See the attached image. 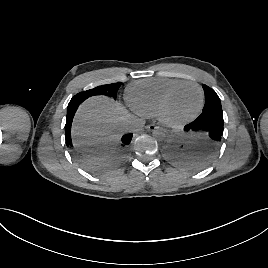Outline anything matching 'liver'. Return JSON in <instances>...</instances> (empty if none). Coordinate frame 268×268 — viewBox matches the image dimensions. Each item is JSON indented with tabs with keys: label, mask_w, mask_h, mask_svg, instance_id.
Instances as JSON below:
<instances>
[{
	"label": "liver",
	"mask_w": 268,
	"mask_h": 268,
	"mask_svg": "<svg viewBox=\"0 0 268 268\" xmlns=\"http://www.w3.org/2000/svg\"><path fill=\"white\" fill-rule=\"evenodd\" d=\"M130 114L118 102L96 96L79 108L72 127L74 143L81 148L106 145L116 141L128 130Z\"/></svg>",
	"instance_id": "1"
}]
</instances>
